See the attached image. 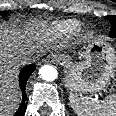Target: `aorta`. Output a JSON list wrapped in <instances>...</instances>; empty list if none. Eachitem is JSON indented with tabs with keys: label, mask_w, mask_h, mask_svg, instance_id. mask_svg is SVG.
Masks as SVG:
<instances>
[{
	"label": "aorta",
	"mask_w": 116,
	"mask_h": 116,
	"mask_svg": "<svg viewBox=\"0 0 116 116\" xmlns=\"http://www.w3.org/2000/svg\"><path fill=\"white\" fill-rule=\"evenodd\" d=\"M39 74L45 81H54L58 76L56 68L51 65H43L39 70Z\"/></svg>",
	"instance_id": "obj_1"
}]
</instances>
